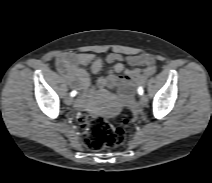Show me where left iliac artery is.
Masks as SVG:
<instances>
[{
    "label": "left iliac artery",
    "instance_id": "obj_1",
    "mask_svg": "<svg viewBox=\"0 0 212 183\" xmlns=\"http://www.w3.org/2000/svg\"><path fill=\"white\" fill-rule=\"evenodd\" d=\"M138 93L140 95H142L144 93V90H143V88L141 86L138 88Z\"/></svg>",
    "mask_w": 212,
    "mask_h": 183
}]
</instances>
